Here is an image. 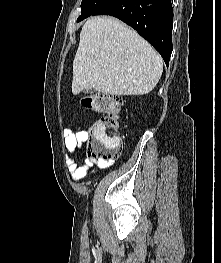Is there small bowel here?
<instances>
[{
    "mask_svg": "<svg viewBox=\"0 0 221 263\" xmlns=\"http://www.w3.org/2000/svg\"><path fill=\"white\" fill-rule=\"evenodd\" d=\"M64 135H65L67 150L70 153L74 154L76 158H79L81 155L82 145L85 143V141L88 138L87 132L84 130L73 132L69 129H66L64 131ZM95 163L98 166V168L105 169L114 165L115 161L112 159L110 160L99 159ZM68 165H69L71 177L75 181L83 179L87 175H93L96 173V169L93 168L94 162L91 160H85L83 164L79 165L76 163L75 160L70 159Z\"/></svg>",
    "mask_w": 221,
    "mask_h": 263,
    "instance_id": "c3829d8e",
    "label": "small bowel"
}]
</instances>
